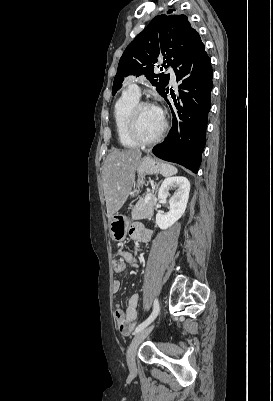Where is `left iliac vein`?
<instances>
[{
  "label": "left iliac vein",
  "mask_w": 273,
  "mask_h": 401,
  "mask_svg": "<svg viewBox=\"0 0 273 401\" xmlns=\"http://www.w3.org/2000/svg\"><path fill=\"white\" fill-rule=\"evenodd\" d=\"M154 325L147 327L146 329L138 332L134 338L132 339L128 351H127V364L131 373L136 372V362L135 355L138 348V345L144 341V339L150 334L153 330Z\"/></svg>",
  "instance_id": "left-iliac-vein-1"
}]
</instances>
